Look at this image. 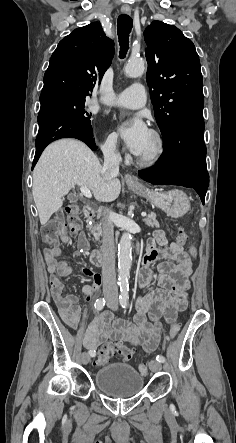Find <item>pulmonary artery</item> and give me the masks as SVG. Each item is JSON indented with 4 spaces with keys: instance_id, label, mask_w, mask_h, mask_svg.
Wrapping results in <instances>:
<instances>
[{
    "instance_id": "pulmonary-artery-1",
    "label": "pulmonary artery",
    "mask_w": 236,
    "mask_h": 443,
    "mask_svg": "<svg viewBox=\"0 0 236 443\" xmlns=\"http://www.w3.org/2000/svg\"><path fill=\"white\" fill-rule=\"evenodd\" d=\"M97 101L109 106H120L136 109L145 104L146 94L143 85L134 84L121 93L115 94L111 97L99 98Z\"/></svg>"
}]
</instances>
